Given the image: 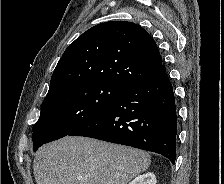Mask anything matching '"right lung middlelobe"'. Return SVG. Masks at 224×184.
Instances as JSON below:
<instances>
[{"label": "right lung middle lobe", "mask_w": 224, "mask_h": 184, "mask_svg": "<svg viewBox=\"0 0 224 184\" xmlns=\"http://www.w3.org/2000/svg\"><path fill=\"white\" fill-rule=\"evenodd\" d=\"M128 86L109 81L72 85L45 99L33 126V149L69 135L103 112Z\"/></svg>", "instance_id": "dd1d6c3e"}]
</instances>
